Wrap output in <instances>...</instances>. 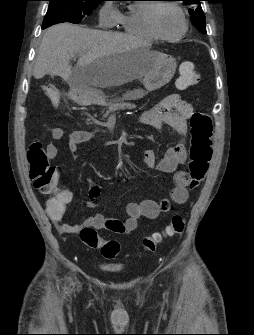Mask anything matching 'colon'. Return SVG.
<instances>
[{
    "instance_id": "obj_1",
    "label": "colon",
    "mask_w": 254,
    "mask_h": 335,
    "mask_svg": "<svg viewBox=\"0 0 254 335\" xmlns=\"http://www.w3.org/2000/svg\"><path fill=\"white\" fill-rule=\"evenodd\" d=\"M199 74L192 62L185 61L179 65L177 87L184 89L197 84ZM51 104L58 107L61 98L58 89L51 84L43 87ZM190 148H189V185L197 187L203 180L212 157L213 123L211 117L204 112H194L190 117ZM30 165V178H36L35 184L43 193H49L58 184V172L49 164L47 155L40 142H33L27 152ZM49 208L57 211L60 204L50 202ZM185 226V219L179 214L171 217L168 225L160 232L153 233L143 239L142 247L146 252H155L159 244L168 237L180 235ZM81 241L92 249L100 250L107 260H113L120 254V245L116 240H104L92 227H85L79 233Z\"/></svg>"
}]
</instances>
